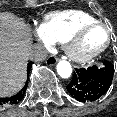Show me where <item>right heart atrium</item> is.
<instances>
[{"label":"right heart atrium","mask_w":117,"mask_h":117,"mask_svg":"<svg viewBox=\"0 0 117 117\" xmlns=\"http://www.w3.org/2000/svg\"><path fill=\"white\" fill-rule=\"evenodd\" d=\"M34 33L39 41L46 47H51L54 44L52 38L47 34L42 25L36 26Z\"/></svg>","instance_id":"1"}]
</instances>
